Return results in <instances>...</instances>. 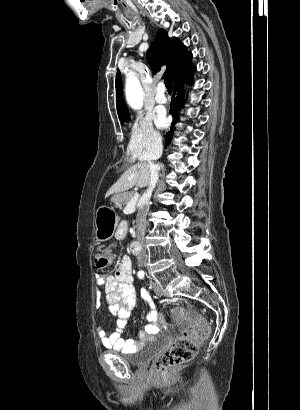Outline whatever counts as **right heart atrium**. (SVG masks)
<instances>
[{"mask_svg": "<svg viewBox=\"0 0 300 410\" xmlns=\"http://www.w3.org/2000/svg\"><path fill=\"white\" fill-rule=\"evenodd\" d=\"M160 134L154 127L152 119L143 115L137 116L130 128L128 155L137 158L153 153L159 147Z\"/></svg>", "mask_w": 300, "mask_h": 410, "instance_id": "obj_1", "label": "right heart atrium"}]
</instances>
